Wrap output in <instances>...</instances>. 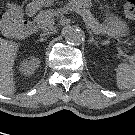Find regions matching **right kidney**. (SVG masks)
<instances>
[{"label":"right kidney","mask_w":135,"mask_h":135,"mask_svg":"<svg viewBox=\"0 0 135 135\" xmlns=\"http://www.w3.org/2000/svg\"><path fill=\"white\" fill-rule=\"evenodd\" d=\"M40 60L38 58H30V59H25L23 62L20 64V71L24 75H31L34 73L35 69L39 67Z\"/></svg>","instance_id":"ca27d5eb"}]
</instances>
